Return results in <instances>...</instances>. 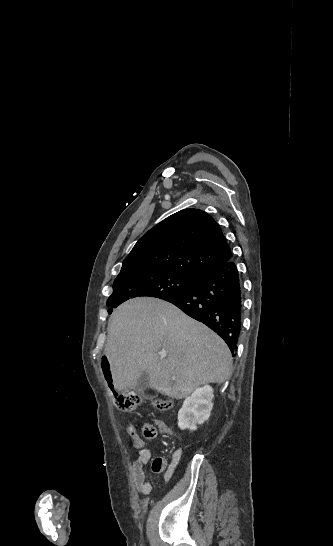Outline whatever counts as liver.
Listing matches in <instances>:
<instances>
[{"label":"liver","instance_id":"6515ba94","mask_svg":"<svg viewBox=\"0 0 333 546\" xmlns=\"http://www.w3.org/2000/svg\"><path fill=\"white\" fill-rule=\"evenodd\" d=\"M161 350L165 358L159 356ZM105 356L116 391L134 389L146 372L151 388L182 399L200 385L222 384L232 374L230 350L216 333L155 298L130 299L113 312Z\"/></svg>","mask_w":333,"mask_h":546}]
</instances>
